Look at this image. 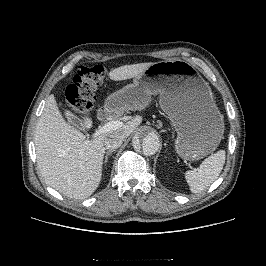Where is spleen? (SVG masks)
Here are the masks:
<instances>
[{
  "mask_svg": "<svg viewBox=\"0 0 266 266\" xmlns=\"http://www.w3.org/2000/svg\"><path fill=\"white\" fill-rule=\"evenodd\" d=\"M225 151L220 150L206 158L198 170H189L185 179L192 193H200L208 188L220 175L225 163Z\"/></svg>",
  "mask_w": 266,
  "mask_h": 266,
  "instance_id": "3e777b00",
  "label": "spleen"
}]
</instances>
